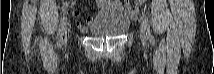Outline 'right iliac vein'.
Wrapping results in <instances>:
<instances>
[{"label":"right iliac vein","mask_w":214,"mask_h":74,"mask_svg":"<svg viewBox=\"0 0 214 74\" xmlns=\"http://www.w3.org/2000/svg\"><path fill=\"white\" fill-rule=\"evenodd\" d=\"M68 25H69V24L65 25V28H64V34H65V38H66V36H67Z\"/></svg>","instance_id":"1"}]
</instances>
